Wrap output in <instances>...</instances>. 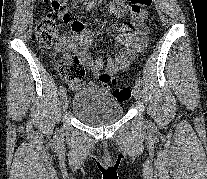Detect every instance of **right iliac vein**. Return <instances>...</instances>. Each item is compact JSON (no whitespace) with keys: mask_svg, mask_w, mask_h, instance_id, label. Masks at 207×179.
<instances>
[{"mask_svg":"<svg viewBox=\"0 0 207 179\" xmlns=\"http://www.w3.org/2000/svg\"><path fill=\"white\" fill-rule=\"evenodd\" d=\"M61 104H62L63 109L66 110L67 107H68L69 101H68V98H67V96H66L65 93L62 94V97H61Z\"/></svg>","mask_w":207,"mask_h":179,"instance_id":"1","label":"right iliac vein"}]
</instances>
